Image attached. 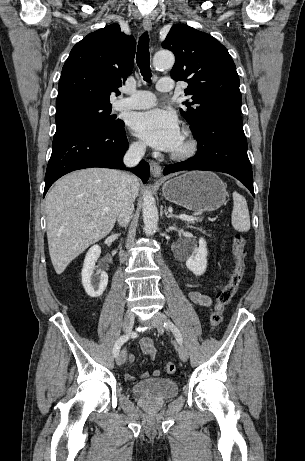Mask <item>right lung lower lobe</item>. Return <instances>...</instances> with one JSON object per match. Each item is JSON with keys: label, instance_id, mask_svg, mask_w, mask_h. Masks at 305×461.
Masks as SVG:
<instances>
[{"label": "right lung lower lobe", "instance_id": "1", "mask_svg": "<svg viewBox=\"0 0 305 461\" xmlns=\"http://www.w3.org/2000/svg\"><path fill=\"white\" fill-rule=\"evenodd\" d=\"M128 149L124 122L101 129L78 121L57 123L52 143V154L45 175L44 196L61 176L87 167L121 168ZM145 183L150 175L149 164L142 160L131 169Z\"/></svg>", "mask_w": 305, "mask_h": 461}]
</instances>
